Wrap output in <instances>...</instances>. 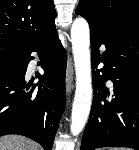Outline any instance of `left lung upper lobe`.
<instances>
[{"mask_svg": "<svg viewBox=\"0 0 139 150\" xmlns=\"http://www.w3.org/2000/svg\"><path fill=\"white\" fill-rule=\"evenodd\" d=\"M76 14L86 18L91 30L108 38L139 25V0H80Z\"/></svg>", "mask_w": 139, "mask_h": 150, "instance_id": "5c2ea615", "label": "left lung upper lobe"}]
</instances>
